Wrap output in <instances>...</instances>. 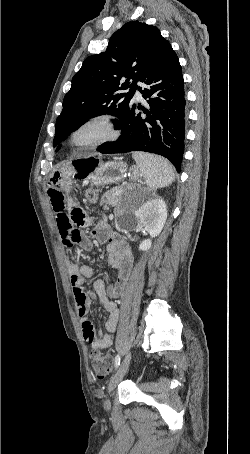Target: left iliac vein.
Listing matches in <instances>:
<instances>
[{
	"label": "left iliac vein",
	"mask_w": 250,
	"mask_h": 454,
	"mask_svg": "<svg viewBox=\"0 0 250 454\" xmlns=\"http://www.w3.org/2000/svg\"><path fill=\"white\" fill-rule=\"evenodd\" d=\"M130 360H131V353L129 352L124 357L119 369L117 370L116 374L111 379V381L108 385V393H111L115 389V387L118 385V383L123 379L124 375L126 374V372L128 370ZM105 407L107 409L110 407V402L108 399L105 401Z\"/></svg>",
	"instance_id": "obj_1"
}]
</instances>
